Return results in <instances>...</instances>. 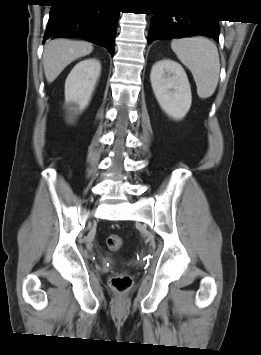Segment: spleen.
I'll list each match as a JSON object with an SVG mask.
<instances>
[{"mask_svg":"<svg viewBox=\"0 0 261 355\" xmlns=\"http://www.w3.org/2000/svg\"><path fill=\"white\" fill-rule=\"evenodd\" d=\"M171 48L191 71L201 99L209 98L219 81L220 59L216 45L205 37L174 39Z\"/></svg>","mask_w":261,"mask_h":355,"instance_id":"1","label":"spleen"}]
</instances>
